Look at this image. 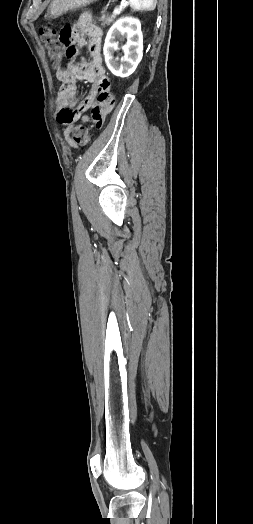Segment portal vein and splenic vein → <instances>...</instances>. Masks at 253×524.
<instances>
[{"mask_svg":"<svg viewBox=\"0 0 253 524\" xmlns=\"http://www.w3.org/2000/svg\"><path fill=\"white\" fill-rule=\"evenodd\" d=\"M126 3H127V2H122L120 6H117V7L114 9L113 14H114V15L119 14V13L122 11L123 6L126 5Z\"/></svg>","mask_w":253,"mask_h":524,"instance_id":"1","label":"portal vein and splenic vein"}]
</instances>
